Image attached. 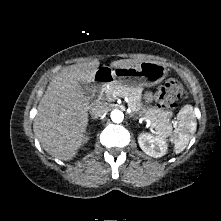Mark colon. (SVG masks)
<instances>
[{
	"instance_id": "colon-1",
	"label": "colon",
	"mask_w": 221,
	"mask_h": 221,
	"mask_svg": "<svg viewBox=\"0 0 221 221\" xmlns=\"http://www.w3.org/2000/svg\"><path fill=\"white\" fill-rule=\"evenodd\" d=\"M184 96L181 84L174 80H168L157 92V98L161 107L173 108L177 100Z\"/></svg>"
}]
</instances>
